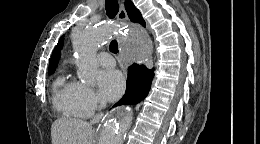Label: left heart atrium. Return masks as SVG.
Listing matches in <instances>:
<instances>
[{
	"label": "left heart atrium",
	"instance_id": "39dd6f15",
	"mask_svg": "<svg viewBox=\"0 0 260 144\" xmlns=\"http://www.w3.org/2000/svg\"><path fill=\"white\" fill-rule=\"evenodd\" d=\"M98 86L104 100L114 101L123 94L125 79L117 70L103 71L98 76Z\"/></svg>",
	"mask_w": 260,
	"mask_h": 144
}]
</instances>
